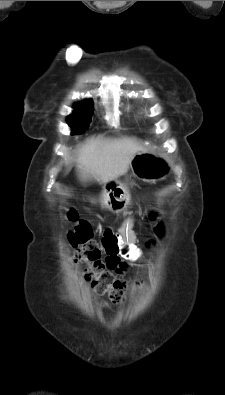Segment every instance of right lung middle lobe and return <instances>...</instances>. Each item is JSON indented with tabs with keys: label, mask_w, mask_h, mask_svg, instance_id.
<instances>
[{
	"label": "right lung middle lobe",
	"mask_w": 225,
	"mask_h": 395,
	"mask_svg": "<svg viewBox=\"0 0 225 395\" xmlns=\"http://www.w3.org/2000/svg\"><path fill=\"white\" fill-rule=\"evenodd\" d=\"M92 101H86L75 105V111L69 115L67 121L72 128V134H81L89 127L93 115Z\"/></svg>",
	"instance_id": "dd1d6c3e"
}]
</instances>
